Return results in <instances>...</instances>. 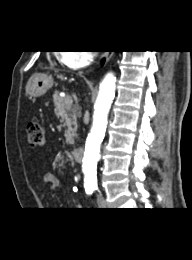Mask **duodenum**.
Wrapping results in <instances>:
<instances>
[{
    "mask_svg": "<svg viewBox=\"0 0 192 260\" xmlns=\"http://www.w3.org/2000/svg\"><path fill=\"white\" fill-rule=\"evenodd\" d=\"M84 149L82 147H75L72 150V156L77 162H81L83 159Z\"/></svg>",
    "mask_w": 192,
    "mask_h": 260,
    "instance_id": "duodenum-1",
    "label": "duodenum"
}]
</instances>
